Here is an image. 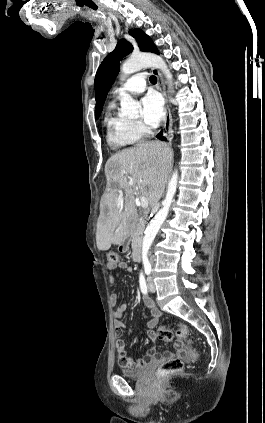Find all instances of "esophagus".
<instances>
[{"mask_svg":"<svg viewBox=\"0 0 265 423\" xmlns=\"http://www.w3.org/2000/svg\"><path fill=\"white\" fill-rule=\"evenodd\" d=\"M151 71L157 77V81H158L157 87L160 90V92L162 93V95L164 97V102H165L166 115H165L164 124H163V135L166 138H168L169 140H171L172 137H173L172 116H171V113H170V110H169V107H168L164 82H163V79H162L160 72L157 69L152 68Z\"/></svg>","mask_w":265,"mask_h":423,"instance_id":"obj_1","label":"esophagus"}]
</instances>
